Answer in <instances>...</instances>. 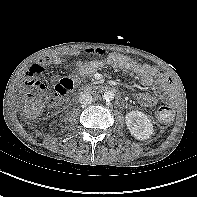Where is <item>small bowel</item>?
<instances>
[{"label":"small bowel","instance_id":"obj_1","mask_svg":"<svg viewBox=\"0 0 197 197\" xmlns=\"http://www.w3.org/2000/svg\"><path fill=\"white\" fill-rule=\"evenodd\" d=\"M85 53L90 57H95L103 54L101 49H88ZM78 51H70L69 55L76 56ZM63 63V58L58 55L44 56L40 58L36 64H34L28 75L31 80L27 83L30 87V83L35 81L36 77L40 76L49 65H61ZM107 64L112 68L121 69L125 71L132 72L137 75L139 82L145 86L150 87L156 85L160 89L159 94H154L150 92H140L136 94V100L143 107H152L159 100H170L174 94V87L169 81V79L164 75V73L155 66L149 64H141L128 56L119 53H110L105 62L99 60H89V61H79L76 63L77 76L76 79L81 77H87L91 75L94 71L101 68L103 65Z\"/></svg>","mask_w":197,"mask_h":197}]
</instances>
